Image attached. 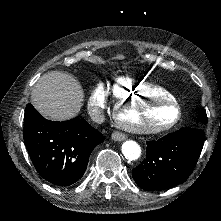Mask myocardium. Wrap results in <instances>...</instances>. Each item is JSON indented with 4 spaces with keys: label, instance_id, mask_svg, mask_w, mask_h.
<instances>
[{
    "label": "myocardium",
    "instance_id": "1",
    "mask_svg": "<svg viewBox=\"0 0 221 221\" xmlns=\"http://www.w3.org/2000/svg\"><path fill=\"white\" fill-rule=\"evenodd\" d=\"M162 94H156L154 98H149L145 94L140 95V98H132L122 102L113 113V121L117 127H122L127 131H137L138 133H151V132H164L168 131L179 124L183 117V109L181 103L177 99H170L168 96L166 98H159ZM179 103V104H178ZM172 105L174 107L173 117L162 124H151L145 122L146 124H137L136 122H131L127 119H123L122 116L126 111L131 108L139 107V111L142 107H152L154 105Z\"/></svg>",
    "mask_w": 221,
    "mask_h": 221
}]
</instances>
